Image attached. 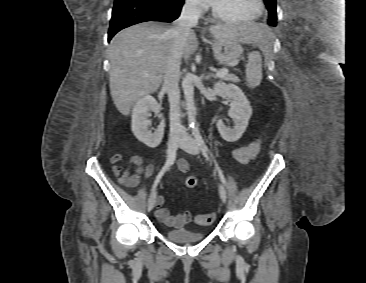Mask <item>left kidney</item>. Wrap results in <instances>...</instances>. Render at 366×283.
Instances as JSON below:
<instances>
[{
    "label": "left kidney",
    "instance_id": "1",
    "mask_svg": "<svg viewBox=\"0 0 366 283\" xmlns=\"http://www.w3.org/2000/svg\"><path fill=\"white\" fill-rule=\"evenodd\" d=\"M212 91L214 95L223 96L231 101L229 116L235 123L234 128L226 127L222 120H218L216 126L224 140L235 142L241 138L248 126L252 115L250 103L242 90L234 84H226L221 81L216 82Z\"/></svg>",
    "mask_w": 366,
    "mask_h": 283
}]
</instances>
